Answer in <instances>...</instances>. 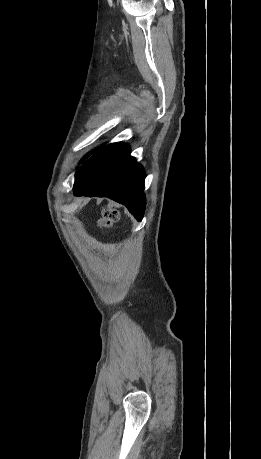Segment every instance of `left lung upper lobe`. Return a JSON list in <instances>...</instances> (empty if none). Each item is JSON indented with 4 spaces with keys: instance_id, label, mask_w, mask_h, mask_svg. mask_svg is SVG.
<instances>
[{
    "instance_id": "obj_1",
    "label": "left lung upper lobe",
    "mask_w": 261,
    "mask_h": 459,
    "mask_svg": "<svg viewBox=\"0 0 261 459\" xmlns=\"http://www.w3.org/2000/svg\"><path fill=\"white\" fill-rule=\"evenodd\" d=\"M91 153H92V152H90L89 154H87V155L80 161V163H82L83 161H85V159L88 158V157L90 156Z\"/></svg>"
}]
</instances>
